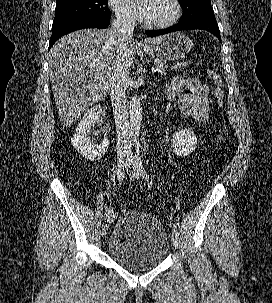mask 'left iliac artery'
Instances as JSON below:
<instances>
[{
	"label": "left iliac artery",
	"instance_id": "1",
	"mask_svg": "<svg viewBox=\"0 0 272 303\" xmlns=\"http://www.w3.org/2000/svg\"><path fill=\"white\" fill-rule=\"evenodd\" d=\"M135 163L140 171L141 176L148 182L149 176H148V174L143 166L142 160H141L139 144H137V146H136ZM172 233L176 236L179 235V232L177 231V229H175V227L173 228Z\"/></svg>",
	"mask_w": 272,
	"mask_h": 303
}]
</instances>
